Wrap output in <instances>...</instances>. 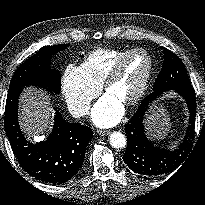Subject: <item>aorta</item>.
Here are the masks:
<instances>
[{
	"label": "aorta",
	"instance_id": "obj_1",
	"mask_svg": "<svg viewBox=\"0 0 205 205\" xmlns=\"http://www.w3.org/2000/svg\"><path fill=\"white\" fill-rule=\"evenodd\" d=\"M110 144L116 149L124 148L126 146V137L120 132H113L110 135Z\"/></svg>",
	"mask_w": 205,
	"mask_h": 205
}]
</instances>
